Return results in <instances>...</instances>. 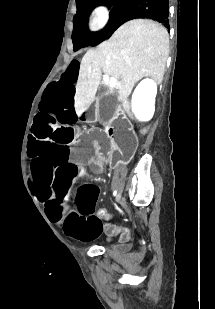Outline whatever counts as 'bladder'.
I'll return each mask as SVG.
<instances>
[{"label":"bladder","mask_w":215,"mask_h":309,"mask_svg":"<svg viewBox=\"0 0 215 309\" xmlns=\"http://www.w3.org/2000/svg\"><path fill=\"white\" fill-rule=\"evenodd\" d=\"M117 250H118L119 252H127V251L130 250V246L127 245V244H121V245H119V246L117 247Z\"/></svg>","instance_id":"obj_1"}]
</instances>
